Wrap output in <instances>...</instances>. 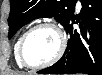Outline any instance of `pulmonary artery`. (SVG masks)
I'll use <instances>...</instances> for the list:
<instances>
[{
  "mask_svg": "<svg viewBox=\"0 0 102 75\" xmlns=\"http://www.w3.org/2000/svg\"><path fill=\"white\" fill-rule=\"evenodd\" d=\"M77 3H78V5H80V1H78Z\"/></svg>",
  "mask_w": 102,
  "mask_h": 75,
  "instance_id": "e3ab8cb5",
  "label": "pulmonary artery"
}]
</instances>
